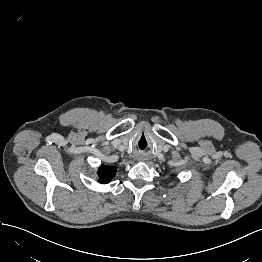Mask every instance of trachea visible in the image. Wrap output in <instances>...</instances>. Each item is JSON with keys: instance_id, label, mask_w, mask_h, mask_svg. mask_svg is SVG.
<instances>
[{"instance_id": "obj_1", "label": "trachea", "mask_w": 262, "mask_h": 262, "mask_svg": "<svg viewBox=\"0 0 262 262\" xmlns=\"http://www.w3.org/2000/svg\"><path fill=\"white\" fill-rule=\"evenodd\" d=\"M143 143L145 144V143H146V141L144 140V141H143Z\"/></svg>"}]
</instances>
